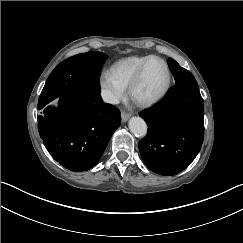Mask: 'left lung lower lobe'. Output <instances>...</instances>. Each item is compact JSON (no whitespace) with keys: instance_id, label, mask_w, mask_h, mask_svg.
Listing matches in <instances>:
<instances>
[{"instance_id":"0a47b994","label":"left lung lower lobe","mask_w":243,"mask_h":243,"mask_svg":"<svg viewBox=\"0 0 243 243\" xmlns=\"http://www.w3.org/2000/svg\"><path fill=\"white\" fill-rule=\"evenodd\" d=\"M139 115L148 125L147 135L139 142L146 166L165 176L186 169L204 138V102L198 84L173 86L160 103Z\"/></svg>"}]
</instances>
